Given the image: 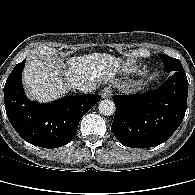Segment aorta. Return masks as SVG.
Masks as SVG:
<instances>
[{
  "instance_id": "1",
  "label": "aorta",
  "mask_w": 195,
  "mask_h": 195,
  "mask_svg": "<svg viewBox=\"0 0 195 195\" xmlns=\"http://www.w3.org/2000/svg\"><path fill=\"white\" fill-rule=\"evenodd\" d=\"M98 109L101 114L111 116L115 113L116 107L112 100L105 99L100 101Z\"/></svg>"
}]
</instances>
